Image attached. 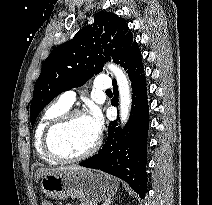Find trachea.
Returning a JSON list of instances; mask_svg holds the SVG:
<instances>
[{"label": "trachea", "instance_id": "3493384b", "mask_svg": "<svg viewBox=\"0 0 212 205\" xmlns=\"http://www.w3.org/2000/svg\"><path fill=\"white\" fill-rule=\"evenodd\" d=\"M106 93H112V91L111 90H107Z\"/></svg>", "mask_w": 212, "mask_h": 205}]
</instances>
